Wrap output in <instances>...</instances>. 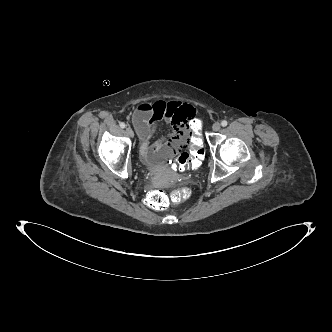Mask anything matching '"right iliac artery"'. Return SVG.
<instances>
[{
  "label": "right iliac artery",
  "mask_w": 332,
  "mask_h": 332,
  "mask_svg": "<svg viewBox=\"0 0 332 332\" xmlns=\"http://www.w3.org/2000/svg\"><path fill=\"white\" fill-rule=\"evenodd\" d=\"M125 126H126L125 123H123V122L120 123L121 128H125Z\"/></svg>",
  "instance_id": "right-iliac-artery-1"
}]
</instances>
